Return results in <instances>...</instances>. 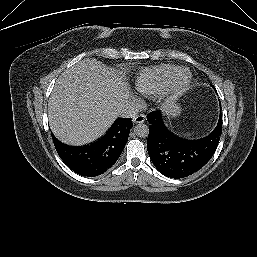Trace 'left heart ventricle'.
<instances>
[{"label":"left heart ventricle","mask_w":257,"mask_h":257,"mask_svg":"<svg viewBox=\"0 0 257 257\" xmlns=\"http://www.w3.org/2000/svg\"><path fill=\"white\" fill-rule=\"evenodd\" d=\"M183 79H184V77H183V76H180V77L178 78L177 82H182Z\"/></svg>","instance_id":"obj_1"}]
</instances>
